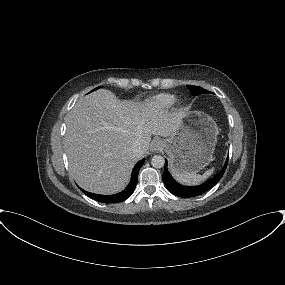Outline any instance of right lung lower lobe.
Instances as JSON below:
<instances>
[{
	"mask_svg": "<svg viewBox=\"0 0 285 285\" xmlns=\"http://www.w3.org/2000/svg\"><path fill=\"white\" fill-rule=\"evenodd\" d=\"M145 159L139 161L135 167L132 170V174H131V180L128 184V186L120 193L114 194V195H100V194H94V193H90L87 191L82 190L88 197L102 202V203H118L121 201L126 200L128 197L131 196V194L134 192L136 184H137V180H138V172L141 168V166L143 165Z\"/></svg>",
	"mask_w": 285,
	"mask_h": 285,
	"instance_id": "98d812e1",
	"label": "right lung lower lobe"
}]
</instances>
